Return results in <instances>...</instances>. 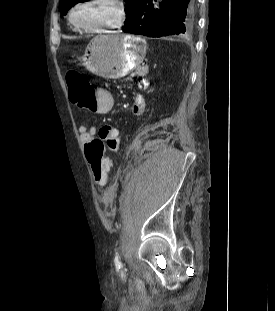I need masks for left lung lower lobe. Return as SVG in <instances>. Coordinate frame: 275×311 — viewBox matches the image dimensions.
Returning <instances> with one entry per match:
<instances>
[{
    "label": "left lung lower lobe",
    "instance_id": "1",
    "mask_svg": "<svg viewBox=\"0 0 275 311\" xmlns=\"http://www.w3.org/2000/svg\"><path fill=\"white\" fill-rule=\"evenodd\" d=\"M195 0H144L124 32L149 37L186 36L195 26Z\"/></svg>",
    "mask_w": 275,
    "mask_h": 311
}]
</instances>
